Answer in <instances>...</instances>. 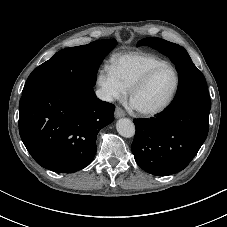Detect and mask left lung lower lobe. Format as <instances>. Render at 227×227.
I'll return each instance as SVG.
<instances>
[{"mask_svg":"<svg viewBox=\"0 0 227 227\" xmlns=\"http://www.w3.org/2000/svg\"><path fill=\"white\" fill-rule=\"evenodd\" d=\"M209 110L184 106L152 119H136L132 153L146 172L167 176L183 170L195 157L209 130Z\"/></svg>","mask_w":227,"mask_h":227,"instance_id":"obj_1","label":"left lung lower lobe"}]
</instances>
